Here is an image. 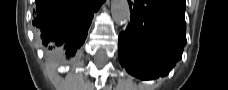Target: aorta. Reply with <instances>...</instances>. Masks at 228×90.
<instances>
[{
	"label": "aorta",
	"mask_w": 228,
	"mask_h": 90,
	"mask_svg": "<svg viewBox=\"0 0 228 90\" xmlns=\"http://www.w3.org/2000/svg\"><path fill=\"white\" fill-rule=\"evenodd\" d=\"M112 18L117 24H124L130 19V8L127 0H111Z\"/></svg>",
	"instance_id": "aorta-1"
}]
</instances>
